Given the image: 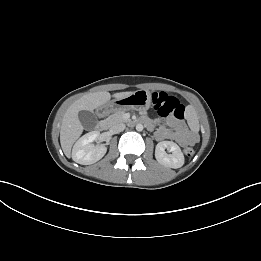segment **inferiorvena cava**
Masks as SVG:
<instances>
[{
    "label": "inferior vena cava",
    "mask_w": 261,
    "mask_h": 261,
    "mask_svg": "<svg viewBox=\"0 0 261 261\" xmlns=\"http://www.w3.org/2000/svg\"><path fill=\"white\" fill-rule=\"evenodd\" d=\"M125 127L126 126L124 123H116L111 126L110 132L113 134H117V133H120L121 131H123L125 129Z\"/></svg>",
    "instance_id": "1"
}]
</instances>
